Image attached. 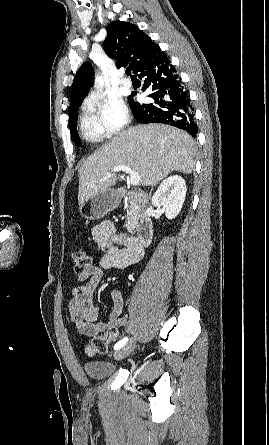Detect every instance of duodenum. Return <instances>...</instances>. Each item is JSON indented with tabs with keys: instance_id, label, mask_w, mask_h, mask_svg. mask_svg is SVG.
<instances>
[{
	"instance_id": "410a0bca",
	"label": "duodenum",
	"mask_w": 269,
	"mask_h": 445,
	"mask_svg": "<svg viewBox=\"0 0 269 445\" xmlns=\"http://www.w3.org/2000/svg\"><path fill=\"white\" fill-rule=\"evenodd\" d=\"M121 197L134 200L143 209L137 222L135 238L136 245L143 248L151 242L153 237V223L144 210L148 201L147 195L143 191L124 190L121 192Z\"/></svg>"
}]
</instances>
